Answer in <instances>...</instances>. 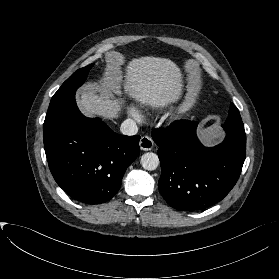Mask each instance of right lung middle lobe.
Wrapping results in <instances>:
<instances>
[{"instance_id": "1", "label": "right lung middle lobe", "mask_w": 279, "mask_h": 279, "mask_svg": "<svg viewBox=\"0 0 279 279\" xmlns=\"http://www.w3.org/2000/svg\"><path fill=\"white\" fill-rule=\"evenodd\" d=\"M93 65L78 69L62 84L51 99L45 120L51 119L75 100L77 88L84 83Z\"/></svg>"}]
</instances>
